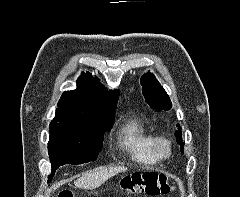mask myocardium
<instances>
[{"instance_id": "myocardium-1", "label": "myocardium", "mask_w": 240, "mask_h": 197, "mask_svg": "<svg viewBox=\"0 0 240 197\" xmlns=\"http://www.w3.org/2000/svg\"><path fill=\"white\" fill-rule=\"evenodd\" d=\"M152 149L159 160H165L171 155V141L163 135L154 136Z\"/></svg>"}]
</instances>
